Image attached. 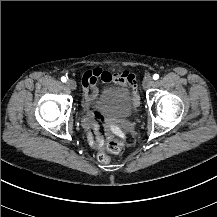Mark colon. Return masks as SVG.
I'll list each match as a JSON object with an SVG mask.
<instances>
[{
    "mask_svg": "<svg viewBox=\"0 0 217 217\" xmlns=\"http://www.w3.org/2000/svg\"><path fill=\"white\" fill-rule=\"evenodd\" d=\"M123 148L122 140H115L107 144V146L98 155V160L106 162L111 154H117Z\"/></svg>",
    "mask_w": 217,
    "mask_h": 217,
    "instance_id": "obj_1",
    "label": "colon"
}]
</instances>
